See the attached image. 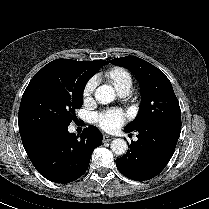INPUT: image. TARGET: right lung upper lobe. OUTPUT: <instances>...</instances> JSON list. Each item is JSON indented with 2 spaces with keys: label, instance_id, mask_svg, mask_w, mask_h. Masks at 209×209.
I'll use <instances>...</instances> for the list:
<instances>
[{
  "label": "right lung upper lobe",
  "instance_id": "cb5924a9",
  "mask_svg": "<svg viewBox=\"0 0 209 209\" xmlns=\"http://www.w3.org/2000/svg\"><path fill=\"white\" fill-rule=\"evenodd\" d=\"M85 64V66L93 73H97L101 67L108 64L105 60H95V61H81ZM23 146L26 147L32 143L36 138L35 137H27L21 136Z\"/></svg>",
  "mask_w": 209,
  "mask_h": 209
}]
</instances>
